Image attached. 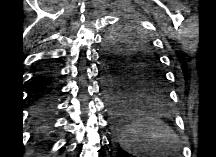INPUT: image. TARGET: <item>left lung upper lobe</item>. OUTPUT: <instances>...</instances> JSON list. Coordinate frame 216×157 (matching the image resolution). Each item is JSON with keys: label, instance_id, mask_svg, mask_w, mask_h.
I'll return each mask as SVG.
<instances>
[{"label": "left lung upper lobe", "instance_id": "obj_1", "mask_svg": "<svg viewBox=\"0 0 216 157\" xmlns=\"http://www.w3.org/2000/svg\"><path fill=\"white\" fill-rule=\"evenodd\" d=\"M103 52L110 75L135 96L166 95L167 79L160 58L136 24L126 21L109 31Z\"/></svg>", "mask_w": 216, "mask_h": 157}]
</instances>
